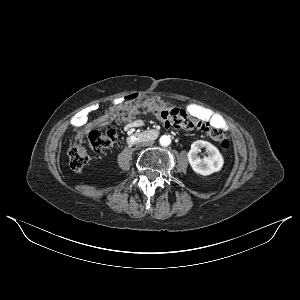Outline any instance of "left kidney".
<instances>
[{"label":"left kidney","mask_w":300,"mask_h":300,"mask_svg":"<svg viewBox=\"0 0 300 300\" xmlns=\"http://www.w3.org/2000/svg\"><path fill=\"white\" fill-rule=\"evenodd\" d=\"M201 148H205L208 154L203 159L198 156ZM188 160L193 171L203 176L220 171L224 164V159L219 150L211 143L203 140H197L192 143L188 152Z\"/></svg>","instance_id":"5707ae66"}]
</instances>
